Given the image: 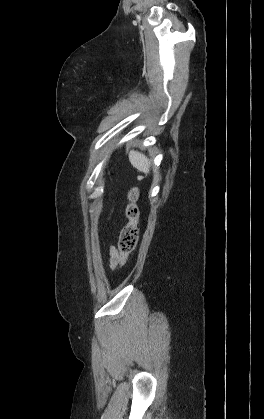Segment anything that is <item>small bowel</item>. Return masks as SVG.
<instances>
[{
    "label": "small bowel",
    "instance_id": "small-bowel-1",
    "mask_svg": "<svg viewBox=\"0 0 264 419\" xmlns=\"http://www.w3.org/2000/svg\"><path fill=\"white\" fill-rule=\"evenodd\" d=\"M109 264L111 268H116L121 262V256L114 246H110L108 250Z\"/></svg>",
    "mask_w": 264,
    "mask_h": 419
}]
</instances>
